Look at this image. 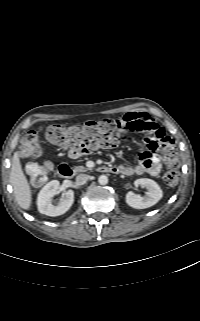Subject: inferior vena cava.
Listing matches in <instances>:
<instances>
[{"label":"inferior vena cava","instance_id":"1","mask_svg":"<svg viewBox=\"0 0 200 321\" xmlns=\"http://www.w3.org/2000/svg\"><path fill=\"white\" fill-rule=\"evenodd\" d=\"M89 176L87 174H79L76 176V183L78 185H84L87 183Z\"/></svg>","mask_w":200,"mask_h":321}]
</instances>
